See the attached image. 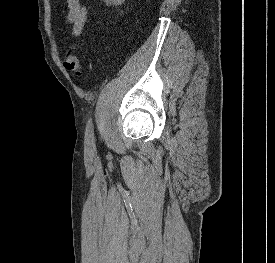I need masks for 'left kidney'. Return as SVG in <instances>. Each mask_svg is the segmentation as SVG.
<instances>
[{"mask_svg": "<svg viewBox=\"0 0 275 263\" xmlns=\"http://www.w3.org/2000/svg\"><path fill=\"white\" fill-rule=\"evenodd\" d=\"M107 3H112V4H121L122 2H124L125 0H105Z\"/></svg>", "mask_w": 275, "mask_h": 263, "instance_id": "left-kidney-1", "label": "left kidney"}]
</instances>
